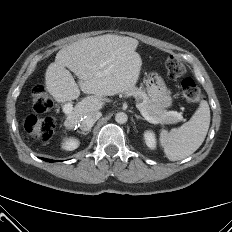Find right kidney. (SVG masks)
I'll list each match as a JSON object with an SVG mask.
<instances>
[{"mask_svg":"<svg viewBox=\"0 0 232 232\" xmlns=\"http://www.w3.org/2000/svg\"><path fill=\"white\" fill-rule=\"evenodd\" d=\"M79 146V140L75 138H67L62 144V148L68 151L75 150Z\"/></svg>","mask_w":232,"mask_h":232,"instance_id":"obj_1","label":"right kidney"}]
</instances>
